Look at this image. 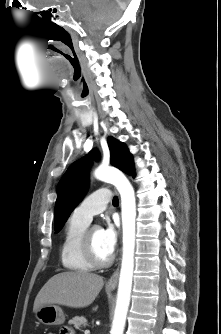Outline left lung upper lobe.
<instances>
[{
  "label": "left lung upper lobe",
  "mask_w": 221,
  "mask_h": 334,
  "mask_svg": "<svg viewBox=\"0 0 221 334\" xmlns=\"http://www.w3.org/2000/svg\"><path fill=\"white\" fill-rule=\"evenodd\" d=\"M111 163L128 175L134 174L133 158L127 147L113 137L108 138ZM96 158L94 151L90 152ZM90 158H82L70 165L57 187L55 203V232H59L70 213L84 197L88 186Z\"/></svg>",
  "instance_id": "obj_1"
}]
</instances>
